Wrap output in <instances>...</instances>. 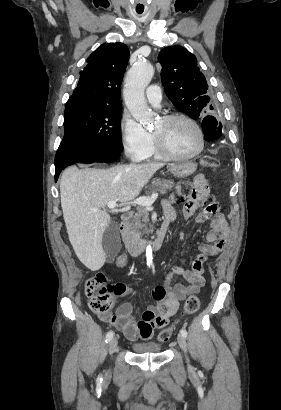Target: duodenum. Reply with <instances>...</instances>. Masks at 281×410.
Wrapping results in <instances>:
<instances>
[{"mask_svg": "<svg viewBox=\"0 0 281 410\" xmlns=\"http://www.w3.org/2000/svg\"><path fill=\"white\" fill-rule=\"evenodd\" d=\"M131 213L127 212L121 216V223L120 228L123 234V240L125 243L126 250L129 254L136 256L141 253L147 247H152L153 249H159L162 247L166 240L167 232H168V225L162 224L160 229L158 230L157 236L154 240L149 241L141 238H136L134 236L129 235L126 232V226L131 218Z\"/></svg>", "mask_w": 281, "mask_h": 410, "instance_id": "410a0bca", "label": "duodenum"}]
</instances>
